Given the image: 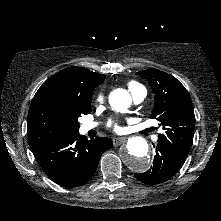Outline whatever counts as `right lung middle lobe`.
<instances>
[{
	"instance_id": "1",
	"label": "right lung middle lobe",
	"mask_w": 221,
	"mask_h": 221,
	"mask_svg": "<svg viewBox=\"0 0 221 221\" xmlns=\"http://www.w3.org/2000/svg\"><path fill=\"white\" fill-rule=\"evenodd\" d=\"M89 113L91 99L81 101L74 96H45L30 106L27 125L29 143L78 132V118Z\"/></svg>"
}]
</instances>
